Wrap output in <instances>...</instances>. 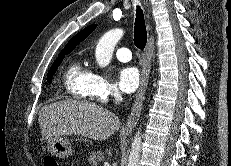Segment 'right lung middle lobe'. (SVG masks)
Masks as SVG:
<instances>
[{"mask_svg": "<svg viewBox=\"0 0 231 166\" xmlns=\"http://www.w3.org/2000/svg\"><path fill=\"white\" fill-rule=\"evenodd\" d=\"M68 53H63V54H59L58 58L54 61V63L52 64L48 74H47V81L48 83H51L52 81V77L54 75V73L56 72L58 66L61 64L63 58L65 57V55H67Z\"/></svg>", "mask_w": 231, "mask_h": 166, "instance_id": "dd1d6c3e", "label": "right lung middle lobe"}]
</instances>
